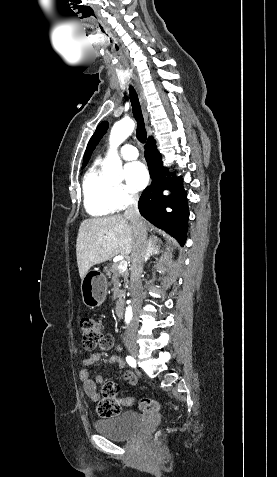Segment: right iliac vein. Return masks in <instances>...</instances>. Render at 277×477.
Masks as SVG:
<instances>
[{"label":"right iliac vein","instance_id":"obj_1","mask_svg":"<svg viewBox=\"0 0 277 477\" xmlns=\"http://www.w3.org/2000/svg\"><path fill=\"white\" fill-rule=\"evenodd\" d=\"M126 347L129 351V353L136 358L138 356V347L134 341H127L126 342Z\"/></svg>","mask_w":277,"mask_h":477}]
</instances>
